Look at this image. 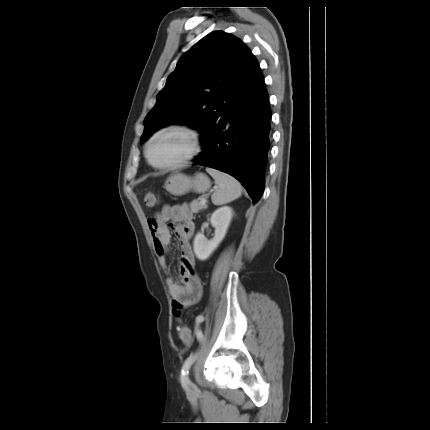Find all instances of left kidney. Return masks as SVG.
Here are the masks:
<instances>
[{"label": "left kidney", "mask_w": 430, "mask_h": 430, "mask_svg": "<svg viewBox=\"0 0 430 430\" xmlns=\"http://www.w3.org/2000/svg\"><path fill=\"white\" fill-rule=\"evenodd\" d=\"M232 208L224 206L218 208L211 215L210 222L215 228V235L208 240L203 233L198 232L193 241V249L199 260L208 259L224 239L232 219Z\"/></svg>", "instance_id": "1"}]
</instances>
